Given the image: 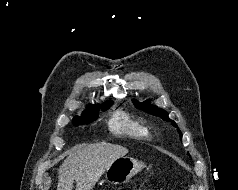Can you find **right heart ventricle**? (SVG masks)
Instances as JSON below:
<instances>
[{
  "mask_svg": "<svg viewBox=\"0 0 238 190\" xmlns=\"http://www.w3.org/2000/svg\"><path fill=\"white\" fill-rule=\"evenodd\" d=\"M109 128L114 133L128 134L140 138H149V129L141 122L132 119L124 112H116L109 120Z\"/></svg>",
  "mask_w": 238,
  "mask_h": 190,
  "instance_id": "1",
  "label": "right heart ventricle"
}]
</instances>
